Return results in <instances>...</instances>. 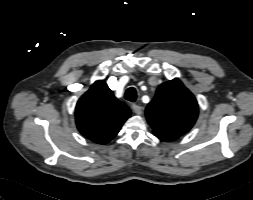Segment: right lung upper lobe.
<instances>
[{
	"label": "right lung upper lobe",
	"mask_w": 253,
	"mask_h": 200,
	"mask_svg": "<svg viewBox=\"0 0 253 200\" xmlns=\"http://www.w3.org/2000/svg\"><path fill=\"white\" fill-rule=\"evenodd\" d=\"M78 130L88 139L106 144L130 117V109L115 98L104 80L96 81L76 105Z\"/></svg>",
	"instance_id": "obj_1"
}]
</instances>
